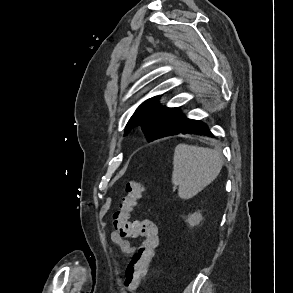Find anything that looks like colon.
<instances>
[{"label": "colon", "mask_w": 293, "mask_h": 293, "mask_svg": "<svg viewBox=\"0 0 293 293\" xmlns=\"http://www.w3.org/2000/svg\"><path fill=\"white\" fill-rule=\"evenodd\" d=\"M126 196L114 216V225L122 237L142 238L140 245L132 253L125 270V286L135 291L139 288L147 267L159 246L157 225L150 219L129 220L130 213L143 193L138 181H129L125 186Z\"/></svg>", "instance_id": "colon-1"}]
</instances>
